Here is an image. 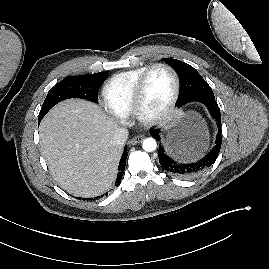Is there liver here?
Returning a JSON list of instances; mask_svg holds the SVG:
<instances>
[{
    "label": "liver",
    "mask_w": 269,
    "mask_h": 269,
    "mask_svg": "<svg viewBox=\"0 0 269 269\" xmlns=\"http://www.w3.org/2000/svg\"><path fill=\"white\" fill-rule=\"evenodd\" d=\"M117 129L97 104L81 99L63 101L44 117L42 155L61 188L92 197L112 186L122 154V146L111 143Z\"/></svg>",
    "instance_id": "obj_1"
}]
</instances>
